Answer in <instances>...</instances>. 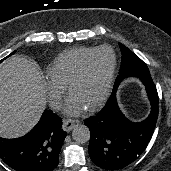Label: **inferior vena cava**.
Returning <instances> with one entry per match:
<instances>
[{
    "instance_id": "obj_1",
    "label": "inferior vena cava",
    "mask_w": 171,
    "mask_h": 171,
    "mask_svg": "<svg viewBox=\"0 0 171 171\" xmlns=\"http://www.w3.org/2000/svg\"><path fill=\"white\" fill-rule=\"evenodd\" d=\"M51 107L55 110H60L61 109V102L59 100L53 101L51 103Z\"/></svg>"
}]
</instances>
